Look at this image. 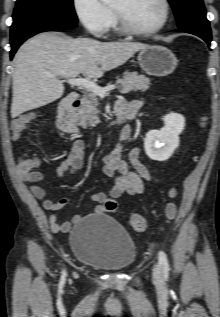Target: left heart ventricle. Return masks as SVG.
Instances as JSON below:
<instances>
[{
    "label": "left heart ventricle",
    "instance_id": "obj_1",
    "mask_svg": "<svg viewBox=\"0 0 220 317\" xmlns=\"http://www.w3.org/2000/svg\"><path fill=\"white\" fill-rule=\"evenodd\" d=\"M112 8L120 11L128 23L139 30L157 26L164 15L160 0H115Z\"/></svg>",
    "mask_w": 220,
    "mask_h": 317
}]
</instances>
